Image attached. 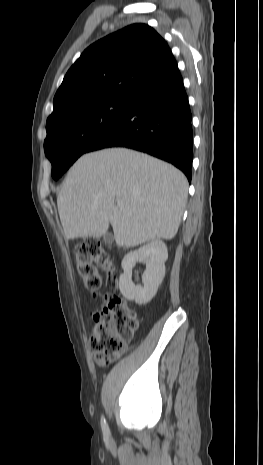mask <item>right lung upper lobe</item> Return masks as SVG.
I'll use <instances>...</instances> for the list:
<instances>
[{"label": "right lung upper lobe", "mask_w": 263, "mask_h": 465, "mask_svg": "<svg viewBox=\"0 0 263 465\" xmlns=\"http://www.w3.org/2000/svg\"><path fill=\"white\" fill-rule=\"evenodd\" d=\"M168 44L150 26L133 24L89 46L65 75L47 122L76 106L133 97L177 69Z\"/></svg>", "instance_id": "cb5924a9"}]
</instances>
